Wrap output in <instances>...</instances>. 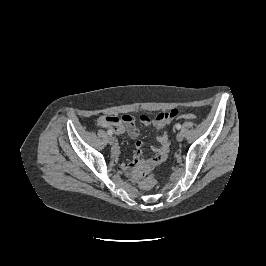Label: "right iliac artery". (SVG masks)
I'll list each match as a JSON object with an SVG mask.
<instances>
[{"mask_svg": "<svg viewBox=\"0 0 266 266\" xmlns=\"http://www.w3.org/2000/svg\"><path fill=\"white\" fill-rule=\"evenodd\" d=\"M107 134L111 136V135H113V131L112 130H108Z\"/></svg>", "mask_w": 266, "mask_h": 266, "instance_id": "obj_1", "label": "right iliac artery"}]
</instances>
